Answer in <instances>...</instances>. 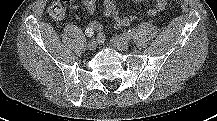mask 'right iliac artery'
Wrapping results in <instances>:
<instances>
[{
	"instance_id": "obj_1",
	"label": "right iliac artery",
	"mask_w": 217,
	"mask_h": 121,
	"mask_svg": "<svg viewBox=\"0 0 217 121\" xmlns=\"http://www.w3.org/2000/svg\"><path fill=\"white\" fill-rule=\"evenodd\" d=\"M93 40H95V39H93ZM96 40H97L98 42H101L100 36L97 35Z\"/></svg>"
}]
</instances>
